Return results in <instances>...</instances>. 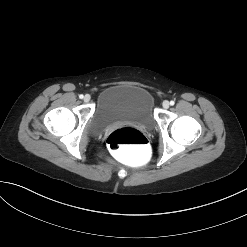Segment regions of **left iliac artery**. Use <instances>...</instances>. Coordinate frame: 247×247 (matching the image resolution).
I'll return each mask as SVG.
<instances>
[{
    "instance_id": "1",
    "label": "left iliac artery",
    "mask_w": 247,
    "mask_h": 247,
    "mask_svg": "<svg viewBox=\"0 0 247 247\" xmlns=\"http://www.w3.org/2000/svg\"><path fill=\"white\" fill-rule=\"evenodd\" d=\"M175 102L173 100L170 101V105H174Z\"/></svg>"
}]
</instances>
